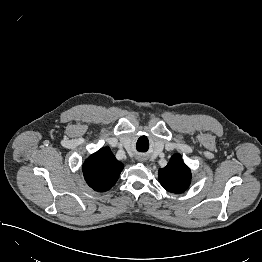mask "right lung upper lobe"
<instances>
[{
	"mask_svg": "<svg viewBox=\"0 0 262 262\" xmlns=\"http://www.w3.org/2000/svg\"><path fill=\"white\" fill-rule=\"evenodd\" d=\"M123 169L107 147L92 154L83 164V175L87 184L98 192L109 190L118 180Z\"/></svg>",
	"mask_w": 262,
	"mask_h": 262,
	"instance_id": "cb5924a9",
	"label": "right lung upper lobe"
}]
</instances>
